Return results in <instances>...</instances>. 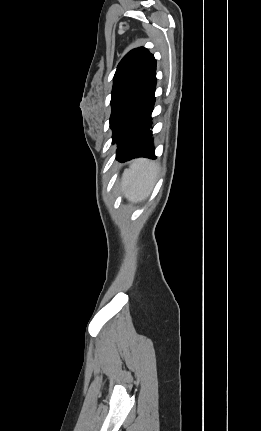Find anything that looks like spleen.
<instances>
[{
  "instance_id": "spleen-1",
  "label": "spleen",
  "mask_w": 261,
  "mask_h": 431,
  "mask_svg": "<svg viewBox=\"0 0 261 431\" xmlns=\"http://www.w3.org/2000/svg\"><path fill=\"white\" fill-rule=\"evenodd\" d=\"M158 166L147 160L133 162L122 176V191L133 202L144 200L153 189Z\"/></svg>"
}]
</instances>
